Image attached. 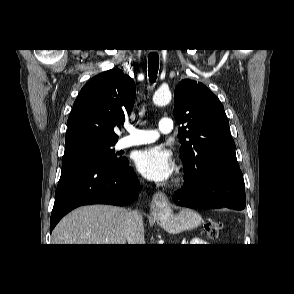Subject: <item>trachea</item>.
Wrapping results in <instances>:
<instances>
[{"instance_id": "1", "label": "trachea", "mask_w": 294, "mask_h": 294, "mask_svg": "<svg viewBox=\"0 0 294 294\" xmlns=\"http://www.w3.org/2000/svg\"><path fill=\"white\" fill-rule=\"evenodd\" d=\"M148 75L149 81L154 83L157 79V72L159 67V58L157 53H150L148 56Z\"/></svg>"}]
</instances>
